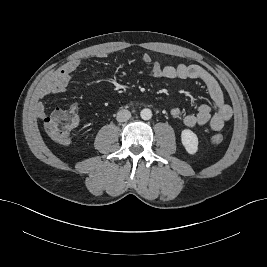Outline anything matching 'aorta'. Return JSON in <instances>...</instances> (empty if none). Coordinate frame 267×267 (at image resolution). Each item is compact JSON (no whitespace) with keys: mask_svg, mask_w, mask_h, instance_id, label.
<instances>
[{"mask_svg":"<svg viewBox=\"0 0 267 267\" xmlns=\"http://www.w3.org/2000/svg\"><path fill=\"white\" fill-rule=\"evenodd\" d=\"M140 116L143 120H149L152 117V111L148 108L141 110Z\"/></svg>","mask_w":267,"mask_h":267,"instance_id":"obj_1","label":"aorta"}]
</instances>
